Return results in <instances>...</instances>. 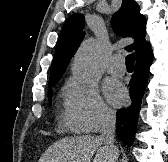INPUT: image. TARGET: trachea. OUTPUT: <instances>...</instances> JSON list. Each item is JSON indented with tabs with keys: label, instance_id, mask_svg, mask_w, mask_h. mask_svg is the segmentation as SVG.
Masks as SVG:
<instances>
[{
	"label": "trachea",
	"instance_id": "obj_1",
	"mask_svg": "<svg viewBox=\"0 0 168 162\" xmlns=\"http://www.w3.org/2000/svg\"><path fill=\"white\" fill-rule=\"evenodd\" d=\"M126 66L134 67V53H131L126 56Z\"/></svg>",
	"mask_w": 168,
	"mask_h": 162
}]
</instances>
